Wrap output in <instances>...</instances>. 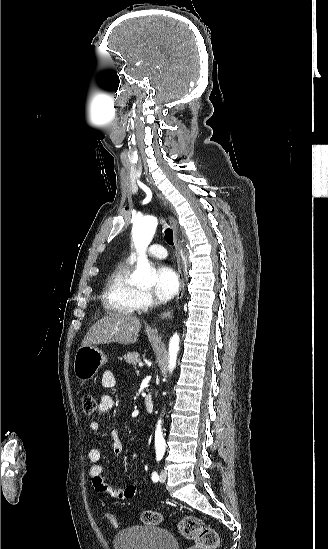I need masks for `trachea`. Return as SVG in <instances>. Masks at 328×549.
<instances>
[{
    "instance_id": "trachea-1",
    "label": "trachea",
    "mask_w": 328,
    "mask_h": 549,
    "mask_svg": "<svg viewBox=\"0 0 328 549\" xmlns=\"http://www.w3.org/2000/svg\"><path fill=\"white\" fill-rule=\"evenodd\" d=\"M164 238L169 245H173V232L170 228H166Z\"/></svg>"
}]
</instances>
